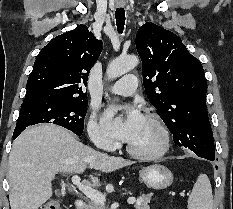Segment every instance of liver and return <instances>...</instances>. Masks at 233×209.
Here are the masks:
<instances>
[{
	"label": "liver",
	"mask_w": 233,
	"mask_h": 209,
	"mask_svg": "<svg viewBox=\"0 0 233 209\" xmlns=\"http://www.w3.org/2000/svg\"><path fill=\"white\" fill-rule=\"evenodd\" d=\"M132 162L108 156L79 142L68 130L51 124L26 129L9 156L11 209H38L52 196L57 173H83L89 167L110 173ZM90 179L94 185L98 177Z\"/></svg>",
	"instance_id": "liver-1"
}]
</instances>
